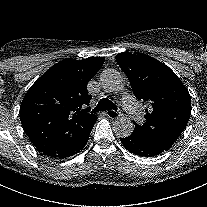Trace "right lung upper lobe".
<instances>
[{"label": "right lung upper lobe", "mask_w": 207, "mask_h": 207, "mask_svg": "<svg viewBox=\"0 0 207 207\" xmlns=\"http://www.w3.org/2000/svg\"><path fill=\"white\" fill-rule=\"evenodd\" d=\"M103 57L65 59L48 69L26 93L20 120L33 145L47 156L64 152L97 120L86 89Z\"/></svg>", "instance_id": "cb5924a9"}]
</instances>
